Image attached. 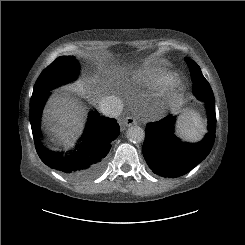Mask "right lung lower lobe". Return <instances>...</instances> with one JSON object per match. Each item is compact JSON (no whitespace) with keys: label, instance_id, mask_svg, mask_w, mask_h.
Instances as JSON below:
<instances>
[{"label":"right lung lower lobe","instance_id":"obj_1","mask_svg":"<svg viewBox=\"0 0 245 245\" xmlns=\"http://www.w3.org/2000/svg\"><path fill=\"white\" fill-rule=\"evenodd\" d=\"M49 92L30 100V123L36 151L41 160L48 166L63 172L75 181H87L97 177L106 166L107 154L111 142L119 135L116 120L101 117L91 112L85 135L78 147L70 152L47 150L40 141L41 113Z\"/></svg>","mask_w":245,"mask_h":245}]
</instances>
